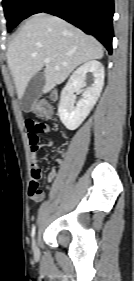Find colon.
<instances>
[{"label": "colon", "instance_id": "obj_1", "mask_svg": "<svg viewBox=\"0 0 134 281\" xmlns=\"http://www.w3.org/2000/svg\"><path fill=\"white\" fill-rule=\"evenodd\" d=\"M34 111L42 116H48L51 114L52 109L46 102H38L34 106ZM29 193L32 197H39L41 195V189L37 181L30 182Z\"/></svg>", "mask_w": 134, "mask_h": 281}]
</instances>
